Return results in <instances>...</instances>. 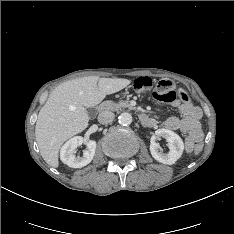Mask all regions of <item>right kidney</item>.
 <instances>
[{
  "label": "right kidney",
  "instance_id": "right-kidney-1",
  "mask_svg": "<svg viewBox=\"0 0 234 234\" xmlns=\"http://www.w3.org/2000/svg\"><path fill=\"white\" fill-rule=\"evenodd\" d=\"M83 142L84 138L81 136H75L68 140L60 150L61 161L71 168H81L89 164L95 155L96 142L94 140L87 141V150L84 151L83 157H76L74 151Z\"/></svg>",
  "mask_w": 234,
  "mask_h": 234
}]
</instances>
